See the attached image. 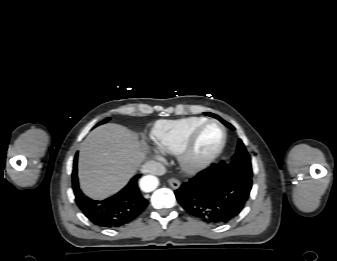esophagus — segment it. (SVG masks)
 <instances>
[{"mask_svg":"<svg viewBox=\"0 0 337 261\" xmlns=\"http://www.w3.org/2000/svg\"><path fill=\"white\" fill-rule=\"evenodd\" d=\"M168 183L173 189H178L181 184L180 181L176 178H169Z\"/></svg>","mask_w":337,"mask_h":261,"instance_id":"34e87169","label":"esophagus"}]
</instances>
